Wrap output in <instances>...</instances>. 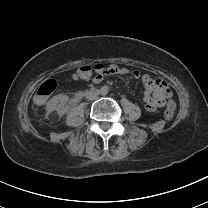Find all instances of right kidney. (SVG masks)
Instances as JSON below:
<instances>
[{"label": "right kidney", "mask_w": 208, "mask_h": 208, "mask_svg": "<svg viewBox=\"0 0 208 208\" xmlns=\"http://www.w3.org/2000/svg\"><path fill=\"white\" fill-rule=\"evenodd\" d=\"M69 97L63 94H59L51 98L47 103V108L50 111L56 110L60 115H63L67 112L68 106L67 102Z\"/></svg>", "instance_id": "1"}]
</instances>
